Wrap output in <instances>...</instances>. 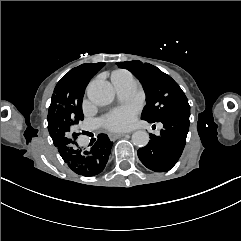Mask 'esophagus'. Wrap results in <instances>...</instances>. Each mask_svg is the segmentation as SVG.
I'll list each match as a JSON object with an SVG mask.
<instances>
[{
    "mask_svg": "<svg viewBox=\"0 0 241 241\" xmlns=\"http://www.w3.org/2000/svg\"><path fill=\"white\" fill-rule=\"evenodd\" d=\"M124 136H125L124 133H110V134H109V138H110V140H112V141H115V140H117L118 138H121V137H124Z\"/></svg>",
    "mask_w": 241,
    "mask_h": 241,
    "instance_id": "34e87169",
    "label": "esophagus"
}]
</instances>
